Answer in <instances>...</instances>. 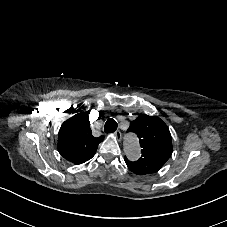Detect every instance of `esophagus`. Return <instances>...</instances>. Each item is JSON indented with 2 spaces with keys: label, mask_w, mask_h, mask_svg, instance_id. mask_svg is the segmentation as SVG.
<instances>
[{
  "label": "esophagus",
  "mask_w": 227,
  "mask_h": 227,
  "mask_svg": "<svg viewBox=\"0 0 227 227\" xmlns=\"http://www.w3.org/2000/svg\"><path fill=\"white\" fill-rule=\"evenodd\" d=\"M114 135L118 141L121 140V132L119 130L115 131Z\"/></svg>",
  "instance_id": "1"
}]
</instances>
